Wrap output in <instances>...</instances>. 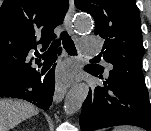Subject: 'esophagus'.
<instances>
[{
	"instance_id": "34e87169",
	"label": "esophagus",
	"mask_w": 151,
	"mask_h": 131,
	"mask_svg": "<svg viewBox=\"0 0 151 131\" xmlns=\"http://www.w3.org/2000/svg\"><path fill=\"white\" fill-rule=\"evenodd\" d=\"M74 13H75L74 0H69V10L66 15L65 25L68 32L71 35H74V31L72 28V18L74 16ZM66 92H67V87H62V86L57 85L55 88V93H54V101L56 103L60 102L64 98V95L66 94Z\"/></svg>"
}]
</instances>
